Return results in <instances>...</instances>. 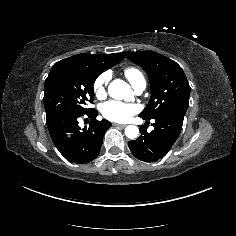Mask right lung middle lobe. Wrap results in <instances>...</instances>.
<instances>
[{
	"mask_svg": "<svg viewBox=\"0 0 236 236\" xmlns=\"http://www.w3.org/2000/svg\"><path fill=\"white\" fill-rule=\"evenodd\" d=\"M105 66L93 59L66 58L55 63L45 80L44 107L46 118L67 113L82 115L91 108L86 102L94 100L95 79Z\"/></svg>",
	"mask_w": 236,
	"mask_h": 236,
	"instance_id": "right-lung-middle-lobe-1",
	"label": "right lung middle lobe"
}]
</instances>
